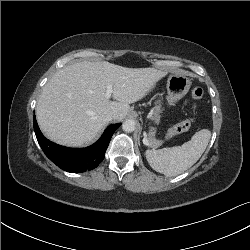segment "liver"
<instances>
[{"instance_id": "6515ba94", "label": "liver", "mask_w": 250, "mask_h": 250, "mask_svg": "<svg viewBox=\"0 0 250 250\" xmlns=\"http://www.w3.org/2000/svg\"><path fill=\"white\" fill-rule=\"evenodd\" d=\"M156 68H127L109 62L82 61L57 71L44 86L36 106L43 134L65 146L80 147L91 142L109 121L128 114L130 105L142 99L167 75ZM113 87L106 98L107 85Z\"/></svg>"}]
</instances>
